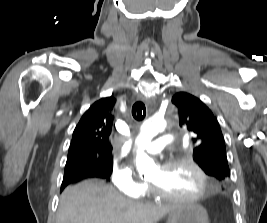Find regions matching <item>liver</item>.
Listing matches in <instances>:
<instances>
[{
  "mask_svg": "<svg viewBox=\"0 0 267 223\" xmlns=\"http://www.w3.org/2000/svg\"><path fill=\"white\" fill-rule=\"evenodd\" d=\"M174 209L129 200L104 181L91 179L63 191L57 223H157Z\"/></svg>",
  "mask_w": 267,
  "mask_h": 223,
  "instance_id": "obj_1",
  "label": "liver"
}]
</instances>
